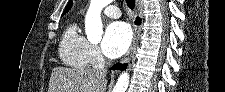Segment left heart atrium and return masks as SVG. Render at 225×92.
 I'll use <instances>...</instances> for the list:
<instances>
[{
    "label": "left heart atrium",
    "mask_w": 225,
    "mask_h": 92,
    "mask_svg": "<svg viewBox=\"0 0 225 92\" xmlns=\"http://www.w3.org/2000/svg\"><path fill=\"white\" fill-rule=\"evenodd\" d=\"M132 31L125 22H113L106 28L102 41V51L109 58H118L128 49Z\"/></svg>",
    "instance_id": "obj_1"
}]
</instances>
